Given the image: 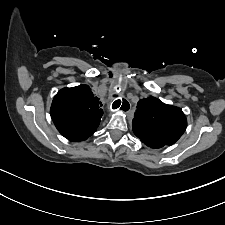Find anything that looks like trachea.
Instances as JSON below:
<instances>
[{"label": "trachea", "instance_id": "3493384b", "mask_svg": "<svg viewBox=\"0 0 225 225\" xmlns=\"http://www.w3.org/2000/svg\"><path fill=\"white\" fill-rule=\"evenodd\" d=\"M114 98H117L119 97L118 95H113ZM115 106H114V109L118 108L120 105H121V100L120 99H117L116 102H115ZM122 109H125V108H129V104L126 100H123V104L121 106Z\"/></svg>", "mask_w": 225, "mask_h": 225}]
</instances>
